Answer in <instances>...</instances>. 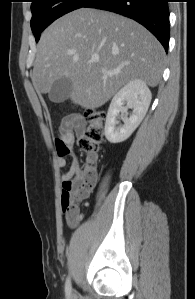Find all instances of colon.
Returning <instances> with one entry per match:
<instances>
[{
	"mask_svg": "<svg viewBox=\"0 0 195 299\" xmlns=\"http://www.w3.org/2000/svg\"><path fill=\"white\" fill-rule=\"evenodd\" d=\"M86 117L88 123L78 141L84 159L78 167L77 178L67 183L68 190L62 193L63 213L72 218L80 213L81 203L94 184L97 153L103 143L105 111L101 108L88 109Z\"/></svg>",
	"mask_w": 195,
	"mask_h": 299,
	"instance_id": "1",
	"label": "colon"
}]
</instances>
